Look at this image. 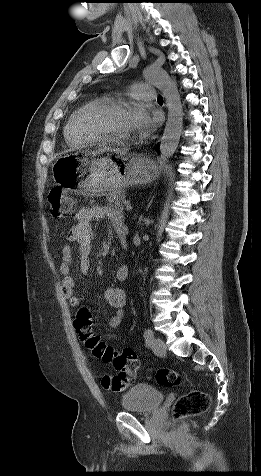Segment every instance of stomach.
Here are the masks:
<instances>
[{
	"label": "stomach",
	"instance_id": "obj_1",
	"mask_svg": "<svg viewBox=\"0 0 261 476\" xmlns=\"http://www.w3.org/2000/svg\"><path fill=\"white\" fill-rule=\"evenodd\" d=\"M76 155L60 156L54 165L57 182L76 195H117L128 186L154 181L158 174L156 163L141 154L102 149Z\"/></svg>",
	"mask_w": 261,
	"mask_h": 476
}]
</instances>
